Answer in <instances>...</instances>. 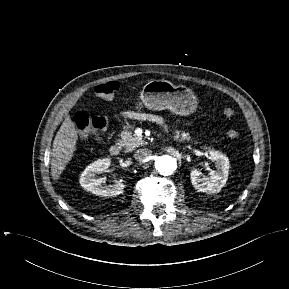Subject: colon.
Wrapping results in <instances>:
<instances>
[{"instance_id":"5ec220e1","label":"colon","mask_w":289,"mask_h":289,"mask_svg":"<svg viewBox=\"0 0 289 289\" xmlns=\"http://www.w3.org/2000/svg\"><path fill=\"white\" fill-rule=\"evenodd\" d=\"M119 88V83L116 81H110L107 83L99 84L95 87V94L103 99H112ZM223 114L226 118L232 119L235 112L230 107L223 109ZM72 123L77 128L81 137L85 136L90 131L103 130L107 126V119L100 115H88L86 112H77L73 118ZM229 138L236 140L239 138V132L234 129L227 131Z\"/></svg>"}]
</instances>
